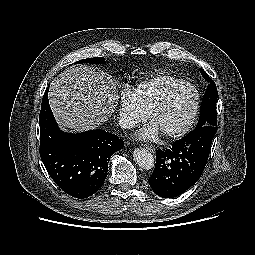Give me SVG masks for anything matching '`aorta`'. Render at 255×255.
I'll list each match as a JSON object with an SVG mask.
<instances>
[{
	"label": "aorta",
	"instance_id": "obj_1",
	"mask_svg": "<svg viewBox=\"0 0 255 255\" xmlns=\"http://www.w3.org/2000/svg\"><path fill=\"white\" fill-rule=\"evenodd\" d=\"M133 158L138 166L145 170H150L155 165L152 153L144 148L135 149L133 152Z\"/></svg>",
	"mask_w": 255,
	"mask_h": 255
}]
</instances>
